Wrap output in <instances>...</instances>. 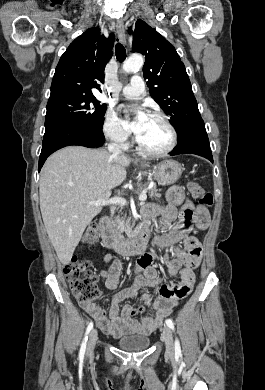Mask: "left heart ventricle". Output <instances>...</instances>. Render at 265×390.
I'll use <instances>...</instances> for the list:
<instances>
[{
    "mask_svg": "<svg viewBox=\"0 0 265 390\" xmlns=\"http://www.w3.org/2000/svg\"><path fill=\"white\" fill-rule=\"evenodd\" d=\"M137 137L144 147L152 151L163 150L170 142V133L166 126L151 116H147Z\"/></svg>",
    "mask_w": 265,
    "mask_h": 390,
    "instance_id": "1",
    "label": "left heart ventricle"
}]
</instances>
